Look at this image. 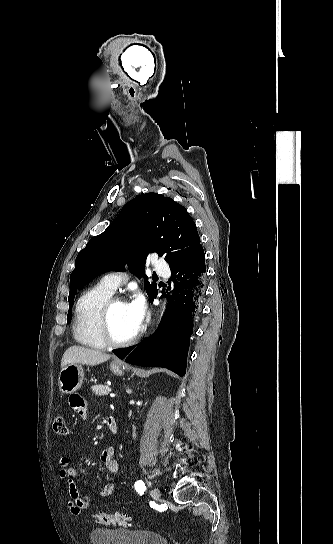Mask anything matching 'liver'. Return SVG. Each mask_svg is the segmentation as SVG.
Listing matches in <instances>:
<instances>
[{"instance_id": "6515ba94", "label": "liver", "mask_w": 333, "mask_h": 544, "mask_svg": "<svg viewBox=\"0 0 333 544\" xmlns=\"http://www.w3.org/2000/svg\"><path fill=\"white\" fill-rule=\"evenodd\" d=\"M109 359L110 355L101 351L82 346H71L63 354L61 368L74 363L95 366Z\"/></svg>"}]
</instances>
